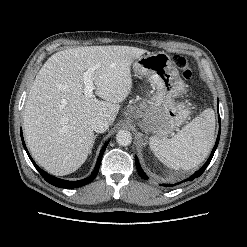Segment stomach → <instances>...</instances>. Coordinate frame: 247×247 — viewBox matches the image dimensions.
Listing matches in <instances>:
<instances>
[{
	"mask_svg": "<svg viewBox=\"0 0 247 247\" xmlns=\"http://www.w3.org/2000/svg\"><path fill=\"white\" fill-rule=\"evenodd\" d=\"M133 71L154 87L151 99L141 103L135 111L138 127L146 134L153 133L159 137L170 134L186 121L190 113L180 102L186 85L171 57L165 52L148 53L134 62Z\"/></svg>",
	"mask_w": 247,
	"mask_h": 247,
	"instance_id": "0dacf381",
	"label": "stomach"
}]
</instances>
